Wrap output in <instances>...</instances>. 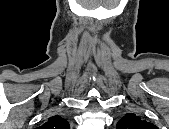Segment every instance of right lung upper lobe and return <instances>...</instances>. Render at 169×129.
Wrapping results in <instances>:
<instances>
[{
	"mask_svg": "<svg viewBox=\"0 0 169 129\" xmlns=\"http://www.w3.org/2000/svg\"><path fill=\"white\" fill-rule=\"evenodd\" d=\"M45 129H68L69 123L60 116H53L42 126Z\"/></svg>",
	"mask_w": 169,
	"mask_h": 129,
	"instance_id": "1",
	"label": "right lung upper lobe"
}]
</instances>
